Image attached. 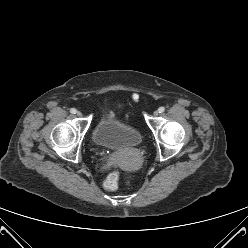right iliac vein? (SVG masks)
Wrapping results in <instances>:
<instances>
[{
    "instance_id": "63e3f726",
    "label": "right iliac vein",
    "mask_w": 248,
    "mask_h": 248,
    "mask_svg": "<svg viewBox=\"0 0 248 248\" xmlns=\"http://www.w3.org/2000/svg\"><path fill=\"white\" fill-rule=\"evenodd\" d=\"M76 115H77L78 117H81V116H82V113H81L80 111H77V112H76Z\"/></svg>"
}]
</instances>
